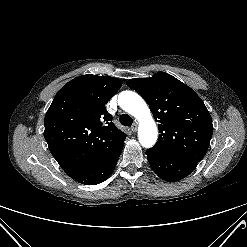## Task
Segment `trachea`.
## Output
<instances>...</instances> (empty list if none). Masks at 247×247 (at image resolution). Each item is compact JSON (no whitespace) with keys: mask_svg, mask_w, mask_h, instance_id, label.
I'll list each match as a JSON object with an SVG mask.
<instances>
[{"mask_svg":"<svg viewBox=\"0 0 247 247\" xmlns=\"http://www.w3.org/2000/svg\"><path fill=\"white\" fill-rule=\"evenodd\" d=\"M119 120H120V123L124 126H131L133 123V119L127 114H122Z\"/></svg>","mask_w":247,"mask_h":247,"instance_id":"1","label":"trachea"}]
</instances>
